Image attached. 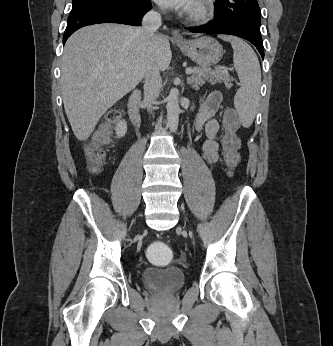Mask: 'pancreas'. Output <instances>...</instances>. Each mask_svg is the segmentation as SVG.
<instances>
[{"mask_svg": "<svg viewBox=\"0 0 333 346\" xmlns=\"http://www.w3.org/2000/svg\"><path fill=\"white\" fill-rule=\"evenodd\" d=\"M206 81L211 82V84L224 82L226 86H230L232 77L226 70L221 68L211 70L207 67H199L194 68L192 75L188 78V83L195 90H198L199 86L203 85Z\"/></svg>", "mask_w": 333, "mask_h": 346, "instance_id": "obj_1", "label": "pancreas"}]
</instances>
